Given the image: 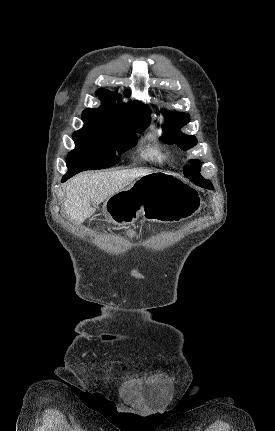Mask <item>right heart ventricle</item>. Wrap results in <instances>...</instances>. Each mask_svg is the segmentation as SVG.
I'll use <instances>...</instances> for the list:
<instances>
[{"instance_id":"obj_1","label":"right heart ventricle","mask_w":275,"mask_h":431,"mask_svg":"<svg viewBox=\"0 0 275 431\" xmlns=\"http://www.w3.org/2000/svg\"><path fill=\"white\" fill-rule=\"evenodd\" d=\"M148 157L158 162H162L164 159V154L160 150H153L149 152Z\"/></svg>"}]
</instances>
